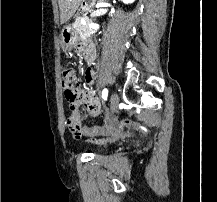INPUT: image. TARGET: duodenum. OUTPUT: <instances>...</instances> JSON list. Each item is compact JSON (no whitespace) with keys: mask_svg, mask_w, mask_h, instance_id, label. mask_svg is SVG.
I'll return each instance as SVG.
<instances>
[{"mask_svg":"<svg viewBox=\"0 0 217 202\" xmlns=\"http://www.w3.org/2000/svg\"><path fill=\"white\" fill-rule=\"evenodd\" d=\"M84 45H87V43H85ZM83 49H84V55H85L86 59L89 62L92 61V59H93L92 53L89 51V49L86 46H84Z\"/></svg>","mask_w":217,"mask_h":202,"instance_id":"1","label":"duodenum"}]
</instances>
